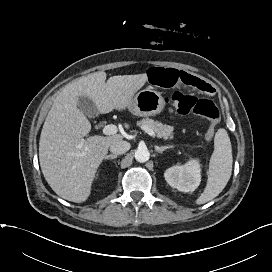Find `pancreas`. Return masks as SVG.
<instances>
[{
  "mask_svg": "<svg viewBox=\"0 0 272 272\" xmlns=\"http://www.w3.org/2000/svg\"><path fill=\"white\" fill-rule=\"evenodd\" d=\"M141 128L147 127L155 132L159 138L164 140L173 139V130L172 126L163 124L159 121H154L153 119L145 118L137 123Z\"/></svg>",
  "mask_w": 272,
  "mask_h": 272,
  "instance_id": "obj_1",
  "label": "pancreas"
}]
</instances>
